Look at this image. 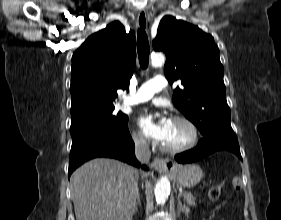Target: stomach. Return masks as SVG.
<instances>
[{"instance_id":"obj_1","label":"stomach","mask_w":281,"mask_h":220,"mask_svg":"<svg viewBox=\"0 0 281 220\" xmlns=\"http://www.w3.org/2000/svg\"><path fill=\"white\" fill-rule=\"evenodd\" d=\"M172 175L176 179L178 185L182 187H193L197 185L202 177V169L195 164L174 165Z\"/></svg>"}]
</instances>
